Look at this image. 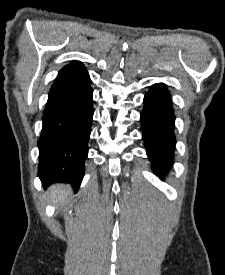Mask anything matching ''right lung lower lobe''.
Listing matches in <instances>:
<instances>
[{
    "instance_id": "right-lung-lower-lobe-1",
    "label": "right lung lower lobe",
    "mask_w": 225,
    "mask_h": 275,
    "mask_svg": "<svg viewBox=\"0 0 225 275\" xmlns=\"http://www.w3.org/2000/svg\"><path fill=\"white\" fill-rule=\"evenodd\" d=\"M38 140V176L44 186L71 183L77 190L84 176V162L93 118L90 79L50 90Z\"/></svg>"
}]
</instances>
